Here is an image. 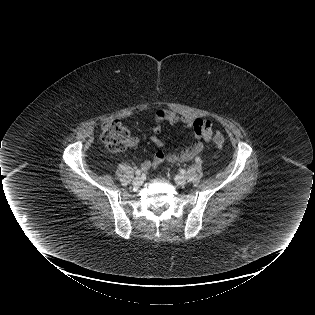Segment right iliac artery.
<instances>
[{
  "mask_svg": "<svg viewBox=\"0 0 315 315\" xmlns=\"http://www.w3.org/2000/svg\"><path fill=\"white\" fill-rule=\"evenodd\" d=\"M141 173H142V171H141L140 169H137L136 172H135V175H136V176H140Z\"/></svg>",
  "mask_w": 315,
  "mask_h": 315,
  "instance_id": "obj_1",
  "label": "right iliac artery"
}]
</instances>
